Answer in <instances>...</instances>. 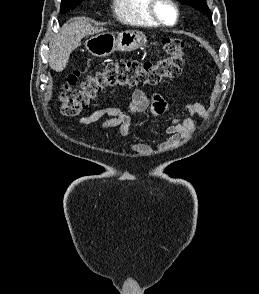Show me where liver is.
I'll return each mask as SVG.
<instances>
[{
  "label": "liver",
  "instance_id": "obj_1",
  "mask_svg": "<svg viewBox=\"0 0 259 294\" xmlns=\"http://www.w3.org/2000/svg\"><path fill=\"white\" fill-rule=\"evenodd\" d=\"M105 31L94 27L86 18L76 17L67 21L50 45L49 65L56 72L66 68L70 54L81 45V40L87 35Z\"/></svg>",
  "mask_w": 259,
  "mask_h": 294
}]
</instances>
